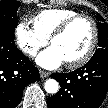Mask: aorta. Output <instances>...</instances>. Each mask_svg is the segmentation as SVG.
<instances>
[{
	"label": "aorta",
	"instance_id": "aorta-1",
	"mask_svg": "<svg viewBox=\"0 0 108 108\" xmlns=\"http://www.w3.org/2000/svg\"><path fill=\"white\" fill-rule=\"evenodd\" d=\"M44 89L50 94H55L59 90V84L54 79H47L44 85Z\"/></svg>",
	"mask_w": 108,
	"mask_h": 108
}]
</instances>
